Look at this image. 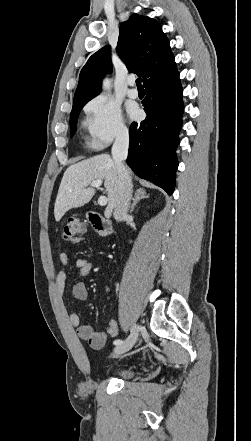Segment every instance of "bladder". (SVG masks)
Returning <instances> with one entry per match:
<instances>
[{"label":"bladder","instance_id":"obj_1","mask_svg":"<svg viewBox=\"0 0 251 441\" xmlns=\"http://www.w3.org/2000/svg\"><path fill=\"white\" fill-rule=\"evenodd\" d=\"M108 373L111 374L112 376H115V377L121 378V379H129V378L133 377L135 374L134 370H132L130 368H120V369L110 371Z\"/></svg>","mask_w":251,"mask_h":441}]
</instances>
